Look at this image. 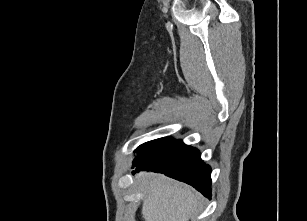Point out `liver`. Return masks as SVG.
I'll list each match as a JSON object with an SVG mask.
<instances>
[{
	"mask_svg": "<svg viewBox=\"0 0 307 221\" xmlns=\"http://www.w3.org/2000/svg\"><path fill=\"white\" fill-rule=\"evenodd\" d=\"M147 194L142 205L144 221H188L197 212L199 195L191 188L156 174H140Z\"/></svg>",
	"mask_w": 307,
	"mask_h": 221,
	"instance_id": "6515ba94",
	"label": "liver"
}]
</instances>
